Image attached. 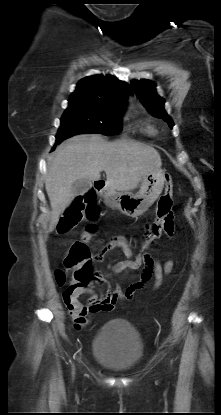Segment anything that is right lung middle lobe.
Returning <instances> with one entry per match:
<instances>
[{
	"mask_svg": "<svg viewBox=\"0 0 221 415\" xmlns=\"http://www.w3.org/2000/svg\"><path fill=\"white\" fill-rule=\"evenodd\" d=\"M124 106L87 101H69L59 127L56 141L80 133L114 135L121 132Z\"/></svg>",
	"mask_w": 221,
	"mask_h": 415,
	"instance_id": "obj_1",
	"label": "right lung middle lobe"
}]
</instances>
